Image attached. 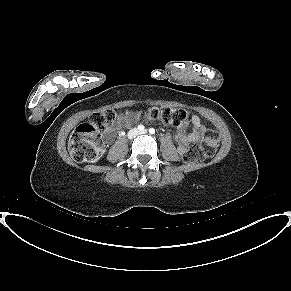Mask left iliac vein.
<instances>
[{
	"instance_id": "obj_1",
	"label": "left iliac vein",
	"mask_w": 291,
	"mask_h": 291,
	"mask_svg": "<svg viewBox=\"0 0 291 291\" xmlns=\"http://www.w3.org/2000/svg\"><path fill=\"white\" fill-rule=\"evenodd\" d=\"M147 130H142L141 132H139V134H146Z\"/></svg>"
}]
</instances>
